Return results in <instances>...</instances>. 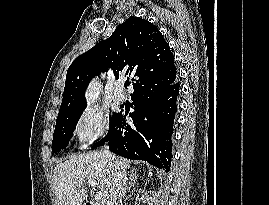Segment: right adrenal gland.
Returning a JSON list of instances; mask_svg holds the SVG:
<instances>
[{
    "label": "right adrenal gland",
    "mask_w": 269,
    "mask_h": 205,
    "mask_svg": "<svg viewBox=\"0 0 269 205\" xmlns=\"http://www.w3.org/2000/svg\"><path fill=\"white\" fill-rule=\"evenodd\" d=\"M138 174L137 172H131L129 175V182H128V187H127V191L129 192L132 188V186H134L136 184V181L138 179Z\"/></svg>",
    "instance_id": "2a0ac1e0"
}]
</instances>
